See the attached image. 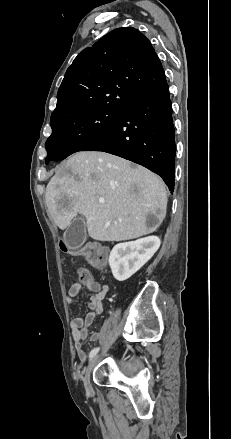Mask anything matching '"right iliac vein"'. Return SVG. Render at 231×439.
Listing matches in <instances>:
<instances>
[{"label": "right iliac vein", "mask_w": 231, "mask_h": 439, "mask_svg": "<svg viewBox=\"0 0 231 439\" xmlns=\"http://www.w3.org/2000/svg\"><path fill=\"white\" fill-rule=\"evenodd\" d=\"M97 360H98V355L92 357L91 360L89 361L87 367L84 370V379H83V381H84L85 389H86V391L88 393H92V391H93L92 385H91V382H90V376H91V373H92V371H93V369H94V367H95V365L97 363Z\"/></svg>", "instance_id": "63e3f726"}]
</instances>
